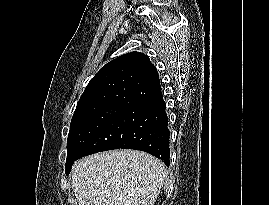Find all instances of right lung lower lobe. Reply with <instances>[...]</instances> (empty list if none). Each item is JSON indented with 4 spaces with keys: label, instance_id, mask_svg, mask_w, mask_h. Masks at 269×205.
Listing matches in <instances>:
<instances>
[{
    "label": "right lung lower lobe",
    "instance_id": "obj_1",
    "mask_svg": "<svg viewBox=\"0 0 269 205\" xmlns=\"http://www.w3.org/2000/svg\"><path fill=\"white\" fill-rule=\"evenodd\" d=\"M162 93L114 116L80 150L77 159L112 149L145 151L169 166V129Z\"/></svg>",
    "mask_w": 269,
    "mask_h": 205
}]
</instances>
